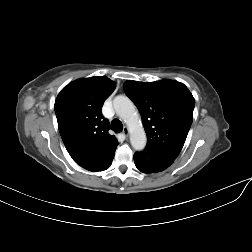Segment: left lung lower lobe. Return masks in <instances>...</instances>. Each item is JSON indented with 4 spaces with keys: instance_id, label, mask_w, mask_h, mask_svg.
<instances>
[{
    "instance_id": "0a47b994",
    "label": "left lung lower lobe",
    "mask_w": 252,
    "mask_h": 252,
    "mask_svg": "<svg viewBox=\"0 0 252 252\" xmlns=\"http://www.w3.org/2000/svg\"><path fill=\"white\" fill-rule=\"evenodd\" d=\"M175 159L156 151L144 149L134 154V163L137 169L143 173H157L167 169Z\"/></svg>"
}]
</instances>
